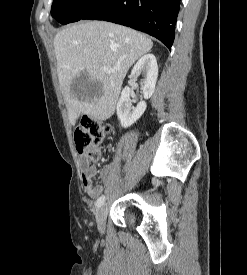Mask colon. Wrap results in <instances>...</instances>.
I'll list each match as a JSON object with an SVG mask.
<instances>
[{
  "mask_svg": "<svg viewBox=\"0 0 247 275\" xmlns=\"http://www.w3.org/2000/svg\"><path fill=\"white\" fill-rule=\"evenodd\" d=\"M111 127L85 118L74 131L76 149L85 152L89 160L98 161L101 153L98 146L103 139L111 134Z\"/></svg>",
  "mask_w": 247,
  "mask_h": 275,
  "instance_id": "colon-1",
  "label": "colon"
}]
</instances>
